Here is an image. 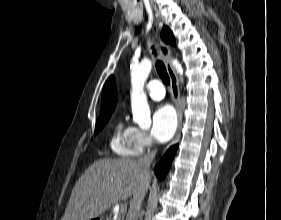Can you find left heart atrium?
<instances>
[{"instance_id":"1","label":"left heart atrium","mask_w":281,"mask_h":220,"mask_svg":"<svg viewBox=\"0 0 281 220\" xmlns=\"http://www.w3.org/2000/svg\"><path fill=\"white\" fill-rule=\"evenodd\" d=\"M177 128V117L174 110L168 106H160L154 112L151 134L159 142H167L172 138Z\"/></svg>"}]
</instances>
